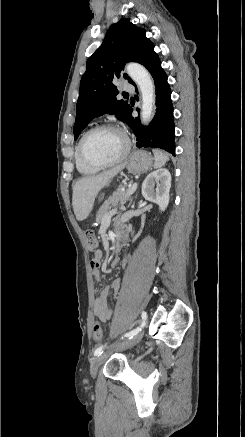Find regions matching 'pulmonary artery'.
<instances>
[{
	"instance_id": "pulmonary-artery-1",
	"label": "pulmonary artery",
	"mask_w": 245,
	"mask_h": 437,
	"mask_svg": "<svg viewBox=\"0 0 245 437\" xmlns=\"http://www.w3.org/2000/svg\"><path fill=\"white\" fill-rule=\"evenodd\" d=\"M122 89L124 91H130V92L134 90L133 86L127 82L122 84Z\"/></svg>"
}]
</instances>
